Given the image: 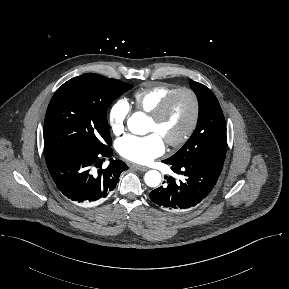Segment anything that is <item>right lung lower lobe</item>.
<instances>
[{"label":"right lung lower lobe","instance_id":"right-lung-lower-lobe-1","mask_svg":"<svg viewBox=\"0 0 289 289\" xmlns=\"http://www.w3.org/2000/svg\"><path fill=\"white\" fill-rule=\"evenodd\" d=\"M111 156L112 149L109 146L102 150L67 146L45 154L57 188L75 203L102 201L115 189L121 172L128 169L123 161L110 159L105 169L93 170Z\"/></svg>","mask_w":289,"mask_h":289}]
</instances>
